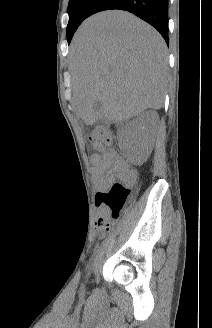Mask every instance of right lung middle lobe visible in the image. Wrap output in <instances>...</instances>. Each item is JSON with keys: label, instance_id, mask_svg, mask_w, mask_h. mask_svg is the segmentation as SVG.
<instances>
[{"label": "right lung middle lobe", "instance_id": "dd1d6c3e", "mask_svg": "<svg viewBox=\"0 0 212 328\" xmlns=\"http://www.w3.org/2000/svg\"><path fill=\"white\" fill-rule=\"evenodd\" d=\"M96 0H70L68 5L69 22L67 26V40L70 43L72 36Z\"/></svg>", "mask_w": 212, "mask_h": 328}]
</instances>
